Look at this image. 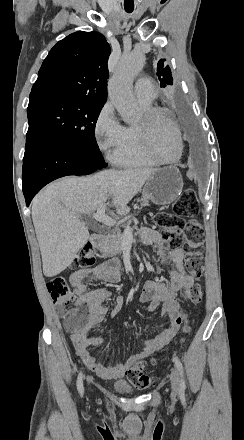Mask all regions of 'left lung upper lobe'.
<instances>
[{"mask_svg":"<svg viewBox=\"0 0 244 440\" xmlns=\"http://www.w3.org/2000/svg\"><path fill=\"white\" fill-rule=\"evenodd\" d=\"M157 76L160 80V87L173 85V77L169 66H165L164 60H159L157 64Z\"/></svg>","mask_w":244,"mask_h":440,"instance_id":"left-lung-upper-lobe-1","label":"left lung upper lobe"}]
</instances>
